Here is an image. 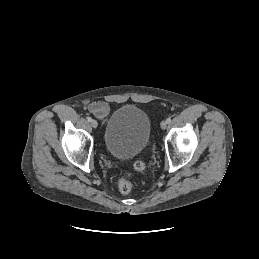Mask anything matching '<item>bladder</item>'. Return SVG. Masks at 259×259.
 I'll return each instance as SVG.
<instances>
[{
	"label": "bladder",
	"mask_w": 259,
	"mask_h": 259,
	"mask_svg": "<svg viewBox=\"0 0 259 259\" xmlns=\"http://www.w3.org/2000/svg\"><path fill=\"white\" fill-rule=\"evenodd\" d=\"M151 122L139 107L124 105L110 116L103 134V143L112 156L120 160L131 159L149 144Z\"/></svg>",
	"instance_id": "bladder-1"
}]
</instances>
